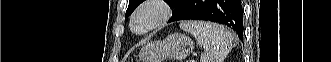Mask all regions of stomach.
Instances as JSON below:
<instances>
[{"mask_svg": "<svg viewBox=\"0 0 331 62\" xmlns=\"http://www.w3.org/2000/svg\"><path fill=\"white\" fill-rule=\"evenodd\" d=\"M194 49L193 41L186 35L175 33L162 41L146 44L139 53L142 62H163L167 58L182 60Z\"/></svg>", "mask_w": 331, "mask_h": 62, "instance_id": "obj_1", "label": "stomach"}]
</instances>
